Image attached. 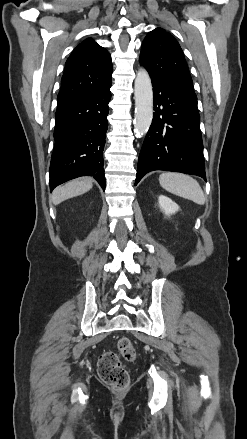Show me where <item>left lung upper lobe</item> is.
I'll use <instances>...</instances> for the list:
<instances>
[{"label": "left lung upper lobe", "mask_w": 247, "mask_h": 439, "mask_svg": "<svg viewBox=\"0 0 247 439\" xmlns=\"http://www.w3.org/2000/svg\"><path fill=\"white\" fill-rule=\"evenodd\" d=\"M140 64L157 79L197 100L193 82L177 40L162 28L151 31L141 47Z\"/></svg>", "instance_id": "left-lung-upper-lobe-1"}]
</instances>
